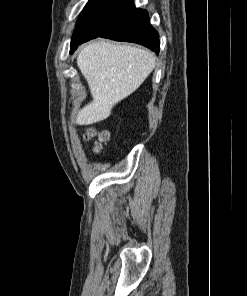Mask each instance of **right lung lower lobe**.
Returning <instances> with one entry per match:
<instances>
[{
  "label": "right lung lower lobe",
  "instance_id": "1",
  "mask_svg": "<svg viewBox=\"0 0 247 296\" xmlns=\"http://www.w3.org/2000/svg\"><path fill=\"white\" fill-rule=\"evenodd\" d=\"M87 30L88 35L79 44L104 37L141 44L159 53V35L150 24L148 12L136 9L133 0H111L101 14L87 25Z\"/></svg>",
  "mask_w": 247,
  "mask_h": 296
}]
</instances>
